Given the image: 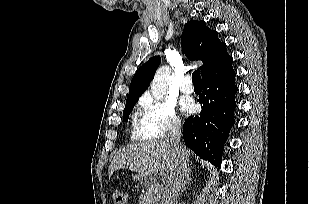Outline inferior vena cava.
Here are the masks:
<instances>
[{
	"label": "inferior vena cava",
	"instance_id": "1",
	"mask_svg": "<svg viewBox=\"0 0 309 204\" xmlns=\"http://www.w3.org/2000/svg\"><path fill=\"white\" fill-rule=\"evenodd\" d=\"M181 123L176 121L172 124L165 139L173 147L177 163L172 172L171 179L166 185L162 204H175L179 191L185 186L189 174V158L185 147L180 142Z\"/></svg>",
	"mask_w": 309,
	"mask_h": 204
}]
</instances>
